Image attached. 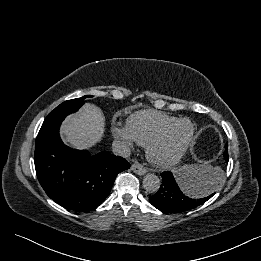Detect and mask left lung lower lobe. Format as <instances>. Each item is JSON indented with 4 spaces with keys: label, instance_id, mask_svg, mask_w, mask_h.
Wrapping results in <instances>:
<instances>
[{
    "label": "left lung lower lobe",
    "instance_id": "obj_1",
    "mask_svg": "<svg viewBox=\"0 0 261 261\" xmlns=\"http://www.w3.org/2000/svg\"><path fill=\"white\" fill-rule=\"evenodd\" d=\"M225 149L224 158L227 161L228 149ZM161 176L162 185L160 189L155 195L149 197L151 204L160 211L166 213L188 211L202 205L214 195L213 193L199 196L202 185L191 176L180 178L178 175H173L172 172H163ZM206 187L212 188L213 184H207Z\"/></svg>",
    "mask_w": 261,
    "mask_h": 261
}]
</instances>
